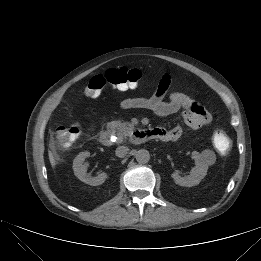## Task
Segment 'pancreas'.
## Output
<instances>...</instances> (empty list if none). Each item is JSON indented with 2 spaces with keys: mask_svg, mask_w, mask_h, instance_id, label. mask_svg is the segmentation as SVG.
<instances>
[{
  "mask_svg": "<svg viewBox=\"0 0 261 261\" xmlns=\"http://www.w3.org/2000/svg\"><path fill=\"white\" fill-rule=\"evenodd\" d=\"M108 127L116 132L117 136L119 137V141L126 140L134 129L133 124L121 121H111L108 123Z\"/></svg>",
  "mask_w": 261,
  "mask_h": 261,
  "instance_id": "obj_1",
  "label": "pancreas"
}]
</instances>
